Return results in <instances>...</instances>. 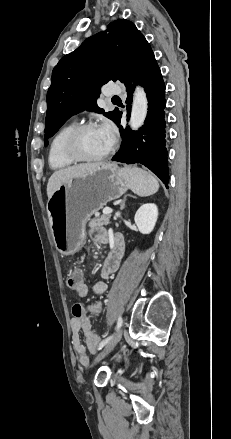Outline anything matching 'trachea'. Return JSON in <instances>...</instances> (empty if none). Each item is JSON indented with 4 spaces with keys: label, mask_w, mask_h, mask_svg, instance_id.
I'll use <instances>...</instances> for the list:
<instances>
[{
    "label": "trachea",
    "mask_w": 231,
    "mask_h": 439,
    "mask_svg": "<svg viewBox=\"0 0 231 439\" xmlns=\"http://www.w3.org/2000/svg\"><path fill=\"white\" fill-rule=\"evenodd\" d=\"M112 99L113 100H117V99H119V97L118 96H113Z\"/></svg>",
    "instance_id": "3493384b"
}]
</instances>
